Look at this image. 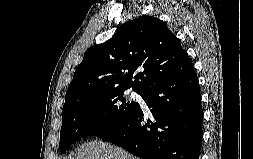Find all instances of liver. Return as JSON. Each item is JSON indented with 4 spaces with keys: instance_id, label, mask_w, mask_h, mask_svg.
Instances as JSON below:
<instances>
[{
    "instance_id": "6515ba94",
    "label": "liver",
    "mask_w": 253,
    "mask_h": 159,
    "mask_svg": "<svg viewBox=\"0 0 253 159\" xmlns=\"http://www.w3.org/2000/svg\"><path fill=\"white\" fill-rule=\"evenodd\" d=\"M66 159H139L124 149L94 140L79 146Z\"/></svg>"
}]
</instances>
